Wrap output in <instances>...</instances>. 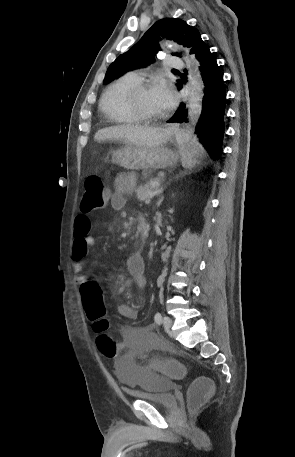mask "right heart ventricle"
<instances>
[{
	"label": "right heart ventricle",
	"mask_w": 295,
	"mask_h": 457,
	"mask_svg": "<svg viewBox=\"0 0 295 457\" xmlns=\"http://www.w3.org/2000/svg\"><path fill=\"white\" fill-rule=\"evenodd\" d=\"M140 81L132 75H125L108 85L100 99V109L113 123L137 124L140 120L134 116L127 103L129 90Z\"/></svg>",
	"instance_id": "right-heart-ventricle-1"
}]
</instances>
